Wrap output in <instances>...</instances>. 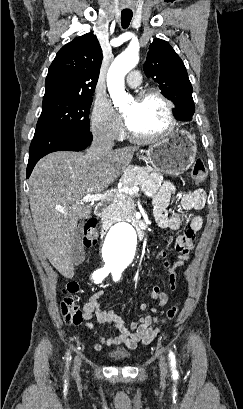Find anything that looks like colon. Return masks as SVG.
Wrapping results in <instances>:
<instances>
[{"label": "colon", "mask_w": 243, "mask_h": 409, "mask_svg": "<svg viewBox=\"0 0 243 409\" xmlns=\"http://www.w3.org/2000/svg\"><path fill=\"white\" fill-rule=\"evenodd\" d=\"M191 175L193 180L196 183H202L206 180L208 171L202 160H195L191 167ZM98 241L97 232L95 229V222H88L85 227L83 235V244L85 247H93ZM79 289V286L76 282H70L66 285L63 290V298L60 304V311L64 321L67 324L78 325L84 320L83 311L75 304V301L72 297ZM178 313V308L176 306L170 307L163 319L162 323L173 320Z\"/></svg>", "instance_id": "1"}]
</instances>
